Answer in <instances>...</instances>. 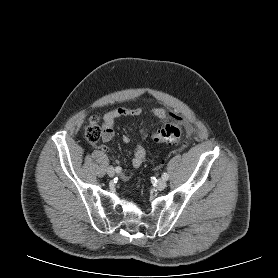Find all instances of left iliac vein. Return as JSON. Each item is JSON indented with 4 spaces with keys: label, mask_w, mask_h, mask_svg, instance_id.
Returning <instances> with one entry per match:
<instances>
[{
    "label": "left iliac vein",
    "mask_w": 278,
    "mask_h": 278,
    "mask_svg": "<svg viewBox=\"0 0 278 278\" xmlns=\"http://www.w3.org/2000/svg\"><path fill=\"white\" fill-rule=\"evenodd\" d=\"M166 181L164 179H159L156 183V187L158 190H163L166 187Z\"/></svg>",
    "instance_id": "left-iliac-vein-1"
}]
</instances>
